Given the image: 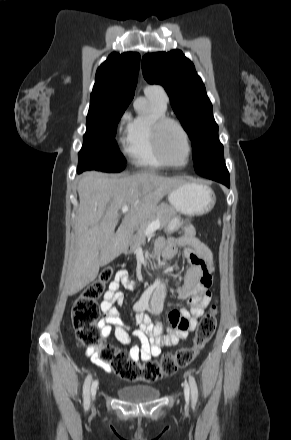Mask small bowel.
Returning a JSON list of instances; mask_svg holds the SVG:
<instances>
[{"label":"small bowel","instance_id":"small-bowel-1","mask_svg":"<svg viewBox=\"0 0 291 440\" xmlns=\"http://www.w3.org/2000/svg\"><path fill=\"white\" fill-rule=\"evenodd\" d=\"M181 247L184 248L191 266L186 271L184 283L177 289V294L181 298L187 299L191 307L180 311L171 310L169 317H176L178 322L173 325L172 329L165 330L161 323H152L150 318L145 315L144 310L149 306V295H143L135 304V322L138 328L133 334L139 340V344L133 346L129 351L130 358L135 362H146L159 356L163 347L176 346L180 340L186 338L197 328L198 318L209 303L210 293L207 287L210 284V276L215 272L213 254L206 244L196 238L191 225H184L183 235L180 237L171 236L167 240L158 239L155 243V253L166 259H171ZM121 285L127 289L136 288V283L129 280L126 271L121 270L116 274L101 303L103 315L98 321V327L104 338L114 334L119 342L128 344L131 341L128 328L122 323L119 311L113 306L124 300L123 293L119 290ZM183 319L191 322L184 325ZM86 354L106 372L112 371L110 365L99 361L91 350L87 349Z\"/></svg>","mask_w":291,"mask_h":440}]
</instances>
